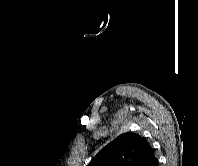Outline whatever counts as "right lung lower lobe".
<instances>
[{"label":"right lung lower lobe","instance_id":"obj_1","mask_svg":"<svg viewBox=\"0 0 198 166\" xmlns=\"http://www.w3.org/2000/svg\"><path fill=\"white\" fill-rule=\"evenodd\" d=\"M150 166H158V160H157V159L154 160V161L150 164Z\"/></svg>","mask_w":198,"mask_h":166}]
</instances>
